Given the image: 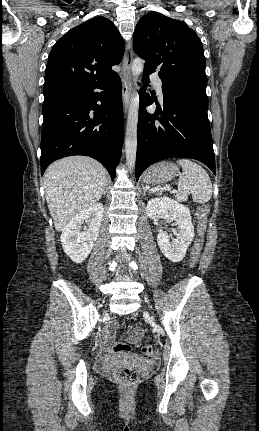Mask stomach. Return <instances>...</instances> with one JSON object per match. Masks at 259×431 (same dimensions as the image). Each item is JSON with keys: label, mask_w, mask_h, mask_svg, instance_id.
Returning <instances> with one entry per match:
<instances>
[{"label": "stomach", "mask_w": 259, "mask_h": 431, "mask_svg": "<svg viewBox=\"0 0 259 431\" xmlns=\"http://www.w3.org/2000/svg\"><path fill=\"white\" fill-rule=\"evenodd\" d=\"M177 172V165L169 162H160L145 172L143 180L146 184H160L170 181Z\"/></svg>", "instance_id": "1"}]
</instances>
